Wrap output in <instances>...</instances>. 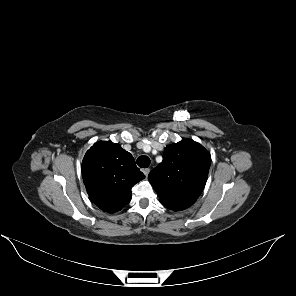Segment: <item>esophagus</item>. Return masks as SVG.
Returning a JSON list of instances; mask_svg holds the SVG:
<instances>
[{
	"label": "esophagus",
	"mask_w": 296,
	"mask_h": 296,
	"mask_svg": "<svg viewBox=\"0 0 296 296\" xmlns=\"http://www.w3.org/2000/svg\"><path fill=\"white\" fill-rule=\"evenodd\" d=\"M143 172H144L145 176L148 177V174L150 172V169L149 168H146V169L143 170Z\"/></svg>",
	"instance_id": "obj_1"
}]
</instances>
